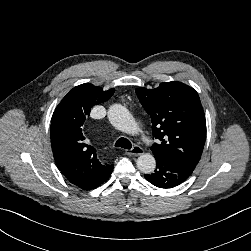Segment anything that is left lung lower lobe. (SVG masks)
Segmentation results:
<instances>
[{"label": "left lung lower lobe", "mask_w": 251, "mask_h": 251, "mask_svg": "<svg viewBox=\"0 0 251 251\" xmlns=\"http://www.w3.org/2000/svg\"><path fill=\"white\" fill-rule=\"evenodd\" d=\"M156 170L146 174L145 178L153 185L160 188H173L184 182L193 172L189 167L162 156L154 155Z\"/></svg>", "instance_id": "0a47b994"}]
</instances>
